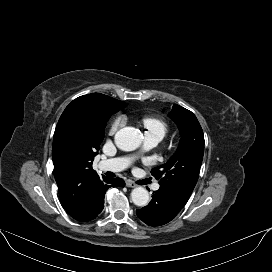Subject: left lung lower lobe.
<instances>
[{
    "label": "left lung lower lobe",
    "instance_id": "obj_1",
    "mask_svg": "<svg viewBox=\"0 0 272 272\" xmlns=\"http://www.w3.org/2000/svg\"><path fill=\"white\" fill-rule=\"evenodd\" d=\"M185 204L172 193L160 188L153 192L150 203L136 210V214L147 225L160 226L170 222Z\"/></svg>",
    "mask_w": 272,
    "mask_h": 272
}]
</instances>
